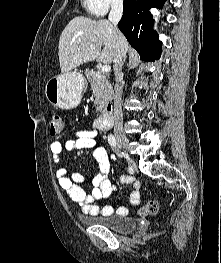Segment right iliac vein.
<instances>
[{"mask_svg": "<svg viewBox=\"0 0 221 263\" xmlns=\"http://www.w3.org/2000/svg\"><path fill=\"white\" fill-rule=\"evenodd\" d=\"M117 143L118 145L125 151V153L129 156L128 150H129V145H128V140L125 136L119 135L117 136ZM130 158V156H129ZM131 163H133V160L130 158Z\"/></svg>", "mask_w": 221, "mask_h": 263, "instance_id": "obj_1", "label": "right iliac vein"}]
</instances>
